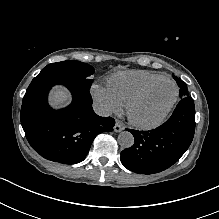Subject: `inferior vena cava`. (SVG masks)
Returning <instances> with one entry per match:
<instances>
[{
    "label": "inferior vena cava",
    "mask_w": 219,
    "mask_h": 219,
    "mask_svg": "<svg viewBox=\"0 0 219 219\" xmlns=\"http://www.w3.org/2000/svg\"><path fill=\"white\" fill-rule=\"evenodd\" d=\"M94 112L102 117L111 115L112 111L105 103L94 102L92 104Z\"/></svg>",
    "instance_id": "inferior-vena-cava-1"
}]
</instances>
